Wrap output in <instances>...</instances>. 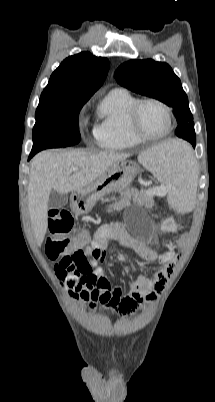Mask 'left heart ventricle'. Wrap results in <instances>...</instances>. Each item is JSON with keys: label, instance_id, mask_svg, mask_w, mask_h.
Returning <instances> with one entry per match:
<instances>
[{"label": "left heart ventricle", "instance_id": "1", "mask_svg": "<svg viewBox=\"0 0 215 402\" xmlns=\"http://www.w3.org/2000/svg\"><path fill=\"white\" fill-rule=\"evenodd\" d=\"M142 130L150 135H159L168 128V118L165 111L153 103L145 104L139 116Z\"/></svg>", "mask_w": 215, "mask_h": 402}]
</instances>
